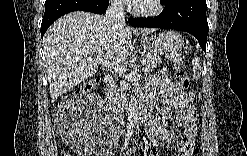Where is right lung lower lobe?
<instances>
[{"mask_svg":"<svg viewBox=\"0 0 247 156\" xmlns=\"http://www.w3.org/2000/svg\"><path fill=\"white\" fill-rule=\"evenodd\" d=\"M108 0H46L45 13L41 24V37L59 17L72 11H86L96 14L106 12Z\"/></svg>","mask_w":247,"mask_h":156,"instance_id":"98d812e1","label":"right lung lower lobe"}]
</instances>
